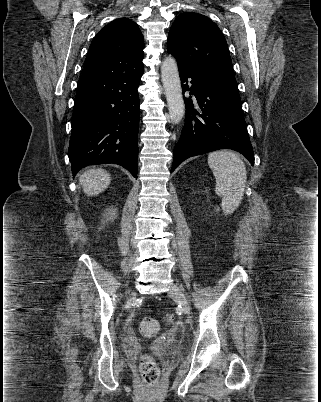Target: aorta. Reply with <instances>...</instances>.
<instances>
[{"instance_id":"1","label":"aorta","mask_w":321,"mask_h":402,"mask_svg":"<svg viewBox=\"0 0 321 402\" xmlns=\"http://www.w3.org/2000/svg\"><path fill=\"white\" fill-rule=\"evenodd\" d=\"M161 79L165 89L169 116L174 124L180 123L185 106L179 78L177 62L173 57H166L161 65Z\"/></svg>"}]
</instances>
